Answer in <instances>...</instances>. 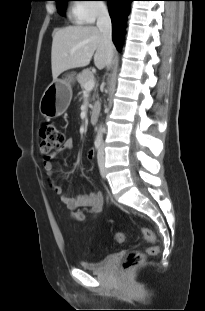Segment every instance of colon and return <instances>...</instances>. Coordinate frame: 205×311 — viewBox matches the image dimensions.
<instances>
[{"label": "colon", "mask_w": 205, "mask_h": 311, "mask_svg": "<svg viewBox=\"0 0 205 311\" xmlns=\"http://www.w3.org/2000/svg\"><path fill=\"white\" fill-rule=\"evenodd\" d=\"M40 137V153L43 157L47 158L51 153L61 147L65 140V134L62 128L54 123H45L39 132ZM143 237L153 242L155 240L154 233L147 229H141ZM125 237L122 232L115 234V241L122 243ZM159 249L157 246L149 247L147 253L149 255H156ZM146 258V255L139 251H131L122 262L123 271H129L130 269L142 264Z\"/></svg>", "instance_id": "5ec220e1"}]
</instances>
